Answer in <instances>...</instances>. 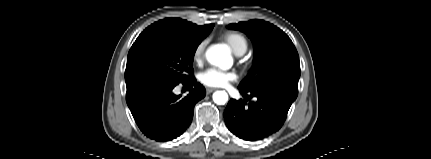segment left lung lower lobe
Here are the masks:
<instances>
[{
  "instance_id": "left-lung-lower-lobe-1",
  "label": "left lung lower lobe",
  "mask_w": 431,
  "mask_h": 159,
  "mask_svg": "<svg viewBox=\"0 0 431 159\" xmlns=\"http://www.w3.org/2000/svg\"><path fill=\"white\" fill-rule=\"evenodd\" d=\"M239 91L247 99H231L224 111V120L233 134L248 141L260 140L278 131L298 95V92L278 85ZM252 98L254 101H250Z\"/></svg>"
}]
</instances>
